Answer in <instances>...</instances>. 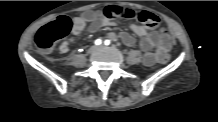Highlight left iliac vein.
I'll return each instance as SVG.
<instances>
[{
  "label": "left iliac vein",
  "mask_w": 218,
  "mask_h": 122,
  "mask_svg": "<svg viewBox=\"0 0 218 122\" xmlns=\"http://www.w3.org/2000/svg\"><path fill=\"white\" fill-rule=\"evenodd\" d=\"M98 48H99V49H102V48H104V45H101V46H99Z\"/></svg>",
  "instance_id": "1"
}]
</instances>
